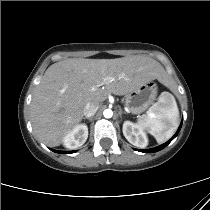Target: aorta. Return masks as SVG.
<instances>
[{
    "label": "aorta",
    "instance_id": "aorta-1",
    "mask_svg": "<svg viewBox=\"0 0 210 210\" xmlns=\"http://www.w3.org/2000/svg\"><path fill=\"white\" fill-rule=\"evenodd\" d=\"M103 115L105 118H111L113 116V111L111 109H105Z\"/></svg>",
    "mask_w": 210,
    "mask_h": 210
}]
</instances>
